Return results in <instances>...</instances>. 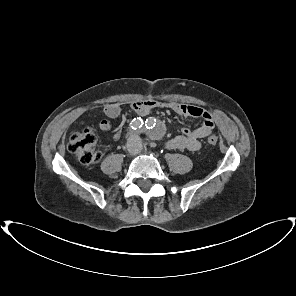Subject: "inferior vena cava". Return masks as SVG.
I'll use <instances>...</instances> for the list:
<instances>
[{
  "mask_svg": "<svg viewBox=\"0 0 296 296\" xmlns=\"http://www.w3.org/2000/svg\"><path fill=\"white\" fill-rule=\"evenodd\" d=\"M142 147V140L141 138L133 134L127 139V148L133 153H138Z\"/></svg>",
  "mask_w": 296,
  "mask_h": 296,
  "instance_id": "obj_1",
  "label": "inferior vena cava"
}]
</instances>
